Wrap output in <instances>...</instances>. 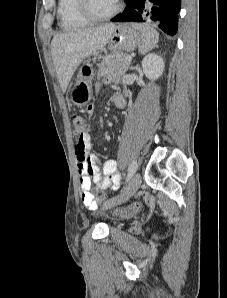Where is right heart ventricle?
I'll return each instance as SVG.
<instances>
[{"mask_svg": "<svg viewBox=\"0 0 227 298\" xmlns=\"http://www.w3.org/2000/svg\"><path fill=\"white\" fill-rule=\"evenodd\" d=\"M58 16L61 27L66 30L86 27L90 24L79 11L78 0H59Z\"/></svg>", "mask_w": 227, "mask_h": 298, "instance_id": "1", "label": "right heart ventricle"}]
</instances>
